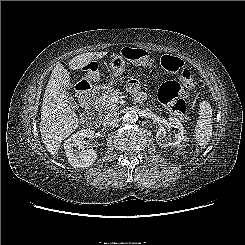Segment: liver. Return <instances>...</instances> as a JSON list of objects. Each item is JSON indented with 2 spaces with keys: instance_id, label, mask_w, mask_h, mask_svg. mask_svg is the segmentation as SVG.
Segmentation results:
<instances>
[{
  "instance_id": "6515ba94",
  "label": "liver",
  "mask_w": 245,
  "mask_h": 245,
  "mask_svg": "<svg viewBox=\"0 0 245 245\" xmlns=\"http://www.w3.org/2000/svg\"><path fill=\"white\" fill-rule=\"evenodd\" d=\"M107 55V52H87L73 57L69 61L71 70H78L94 60ZM70 75L61 63L52 70L43 96L41 109L40 133L47 151L56 156L61 142L69 137L78 127V115L67 104L64 90L74 87L70 83Z\"/></svg>"
}]
</instances>
